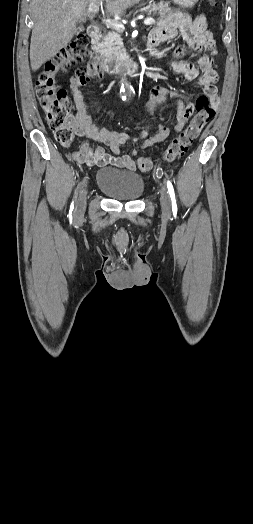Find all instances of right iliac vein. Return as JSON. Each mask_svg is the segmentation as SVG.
<instances>
[{"mask_svg":"<svg viewBox=\"0 0 253 524\" xmlns=\"http://www.w3.org/2000/svg\"><path fill=\"white\" fill-rule=\"evenodd\" d=\"M86 198H87V181H85V184L77 200L76 211H75L77 217H81L85 212Z\"/></svg>","mask_w":253,"mask_h":524,"instance_id":"63e3f726","label":"right iliac vein"}]
</instances>
